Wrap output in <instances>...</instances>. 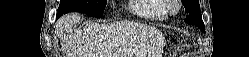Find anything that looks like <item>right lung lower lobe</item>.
Returning a JSON list of instances; mask_svg holds the SVG:
<instances>
[{"mask_svg":"<svg viewBox=\"0 0 249 57\" xmlns=\"http://www.w3.org/2000/svg\"><path fill=\"white\" fill-rule=\"evenodd\" d=\"M61 16L60 14H57V17Z\"/></svg>","mask_w":249,"mask_h":57,"instance_id":"98d812e1","label":"right lung lower lobe"}]
</instances>
